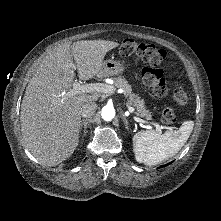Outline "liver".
<instances>
[{"label": "liver", "instance_id": "liver-1", "mask_svg": "<svg viewBox=\"0 0 221 221\" xmlns=\"http://www.w3.org/2000/svg\"><path fill=\"white\" fill-rule=\"evenodd\" d=\"M118 46L106 40L63 43L42 59L26 87L20 111L23 139L38 161L56 166L73 154L79 142L80 109L100 97L99 92L67 94L75 70L82 80L97 76L106 53Z\"/></svg>", "mask_w": 221, "mask_h": 221}]
</instances>
